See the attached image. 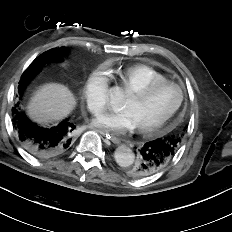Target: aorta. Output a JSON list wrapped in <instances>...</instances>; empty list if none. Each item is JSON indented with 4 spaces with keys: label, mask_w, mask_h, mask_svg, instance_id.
I'll return each instance as SVG.
<instances>
[{
    "label": "aorta",
    "mask_w": 232,
    "mask_h": 232,
    "mask_svg": "<svg viewBox=\"0 0 232 232\" xmlns=\"http://www.w3.org/2000/svg\"><path fill=\"white\" fill-rule=\"evenodd\" d=\"M124 94L119 87H113L110 90V103L113 109L120 110L124 106ZM115 161L121 167H128L133 164L135 155L126 145H120L114 153Z\"/></svg>",
    "instance_id": "1"
}]
</instances>
